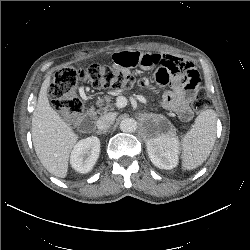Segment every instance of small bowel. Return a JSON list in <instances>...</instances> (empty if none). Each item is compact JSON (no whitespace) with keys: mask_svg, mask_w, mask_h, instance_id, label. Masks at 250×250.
<instances>
[{"mask_svg":"<svg viewBox=\"0 0 250 250\" xmlns=\"http://www.w3.org/2000/svg\"><path fill=\"white\" fill-rule=\"evenodd\" d=\"M117 67L142 69L155 68V80L170 90L163 94V105L174 111L183 121L192 117L190 101L194 91L201 84L195 64L189 60L168 54L121 51L113 56Z\"/></svg>","mask_w":250,"mask_h":250,"instance_id":"1","label":"small bowel"}]
</instances>
